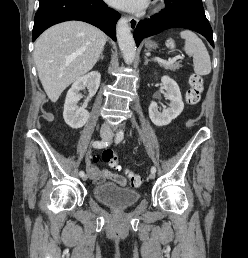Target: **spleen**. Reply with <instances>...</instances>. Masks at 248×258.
Listing matches in <instances>:
<instances>
[{"label": "spleen", "instance_id": "obj_1", "mask_svg": "<svg viewBox=\"0 0 248 258\" xmlns=\"http://www.w3.org/2000/svg\"><path fill=\"white\" fill-rule=\"evenodd\" d=\"M180 36L185 39V53L193 56L194 72L198 75H208L211 72V61L203 41L190 30L181 31Z\"/></svg>", "mask_w": 248, "mask_h": 258}]
</instances>
